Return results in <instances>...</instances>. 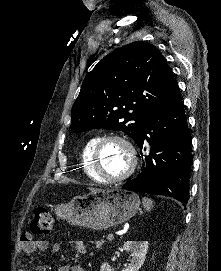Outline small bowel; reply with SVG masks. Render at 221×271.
I'll return each instance as SVG.
<instances>
[{
	"label": "small bowel",
	"mask_w": 221,
	"mask_h": 271,
	"mask_svg": "<svg viewBox=\"0 0 221 271\" xmlns=\"http://www.w3.org/2000/svg\"><path fill=\"white\" fill-rule=\"evenodd\" d=\"M71 244L77 253L85 254L87 252L86 244L82 240H74ZM18 249L23 253H32L36 250L56 253L59 251L60 245L46 239H25L20 242ZM58 271H84V269L76 264H67L60 266Z\"/></svg>",
	"instance_id": "obj_1"
}]
</instances>
